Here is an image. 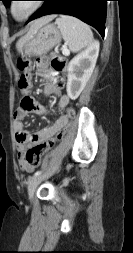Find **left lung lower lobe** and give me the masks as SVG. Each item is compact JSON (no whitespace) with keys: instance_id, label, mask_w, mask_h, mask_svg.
<instances>
[{"instance_id":"0a47b994","label":"left lung lower lobe","mask_w":133,"mask_h":253,"mask_svg":"<svg viewBox=\"0 0 133 253\" xmlns=\"http://www.w3.org/2000/svg\"><path fill=\"white\" fill-rule=\"evenodd\" d=\"M43 6L31 16L34 20L48 14H66L93 26L102 37L105 34L106 2L108 0H41Z\"/></svg>"}]
</instances>
